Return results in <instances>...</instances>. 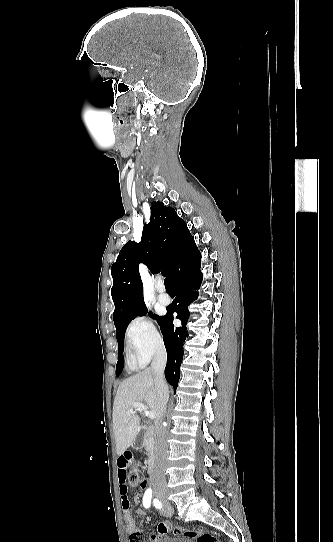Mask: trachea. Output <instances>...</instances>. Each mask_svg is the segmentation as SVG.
<instances>
[{
	"mask_svg": "<svg viewBox=\"0 0 333 542\" xmlns=\"http://www.w3.org/2000/svg\"><path fill=\"white\" fill-rule=\"evenodd\" d=\"M164 283H165L166 289H172L171 281L168 277L165 278Z\"/></svg>",
	"mask_w": 333,
	"mask_h": 542,
	"instance_id": "3493384b",
	"label": "trachea"
}]
</instances>
